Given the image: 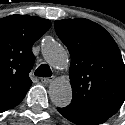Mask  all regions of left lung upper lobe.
Here are the masks:
<instances>
[{
  "label": "left lung upper lobe",
  "instance_id": "left-lung-upper-lobe-1",
  "mask_svg": "<svg viewBox=\"0 0 125 125\" xmlns=\"http://www.w3.org/2000/svg\"><path fill=\"white\" fill-rule=\"evenodd\" d=\"M71 56L73 98L68 108L119 109L125 100V65L111 35L88 19L55 21Z\"/></svg>",
  "mask_w": 125,
  "mask_h": 125
}]
</instances>
